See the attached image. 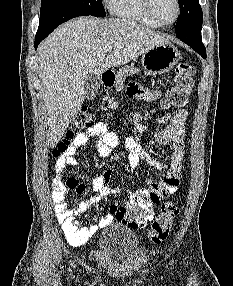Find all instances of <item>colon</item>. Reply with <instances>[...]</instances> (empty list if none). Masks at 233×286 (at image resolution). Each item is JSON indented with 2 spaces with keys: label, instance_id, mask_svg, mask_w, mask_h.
Wrapping results in <instances>:
<instances>
[{
  "label": "colon",
  "instance_id": "colon-1",
  "mask_svg": "<svg viewBox=\"0 0 233 286\" xmlns=\"http://www.w3.org/2000/svg\"><path fill=\"white\" fill-rule=\"evenodd\" d=\"M195 68L187 62H180L175 67L174 85L167 91L164 100L161 102L162 109L183 108L193 86ZM140 119L139 115L133 116L135 123ZM94 115L87 107H82L74 117L65 138L53 150L54 157L62 156L68 149L70 141L80 131L88 129L93 125ZM66 186L76 191L85 189L84 185L71 177L67 180ZM179 206L175 202H165L160 207V212L148 230V238L158 244L165 241L173 227L174 220L179 214ZM144 214L139 205H134L128 212V219L133 225H140Z\"/></svg>",
  "mask_w": 233,
  "mask_h": 286
}]
</instances>
